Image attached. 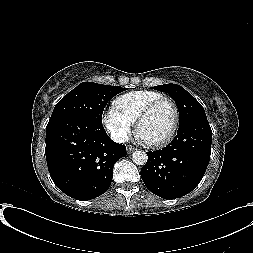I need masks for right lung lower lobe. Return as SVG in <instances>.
Listing matches in <instances>:
<instances>
[{"label": "right lung lower lobe", "instance_id": "obj_1", "mask_svg": "<svg viewBox=\"0 0 253 253\" xmlns=\"http://www.w3.org/2000/svg\"><path fill=\"white\" fill-rule=\"evenodd\" d=\"M45 153L55 185L72 198L90 200L108 190L126 147L112 141L102 124L64 115L49 120Z\"/></svg>", "mask_w": 253, "mask_h": 253}]
</instances>
